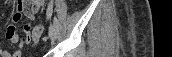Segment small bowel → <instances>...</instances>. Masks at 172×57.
I'll return each mask as SVG.
<instances>
[{"instance_id": "c3829d8e", "label": "small bowel", "mask_w": 172, "mask_h": 57, "mask_svg": "<svg viewBox=\"0 0 172 57\" xmlns=\"http://www.w3.org/2000/svg\"><path fill=\"white\" fill-rule=\"evenodd\" d=\"M43 0H24L18 3V10L12 14L11 23L6 29V38L18 45V48L12 53L0 48L1 57H21L22 48L32 42L36 44L41 36V33L32 30L31 23H27L23 27V34L19 35L16 32V23H18L22 17L28 18L30 21L35 20V14L44 5Z\"/></svg>"}]
</instances>
